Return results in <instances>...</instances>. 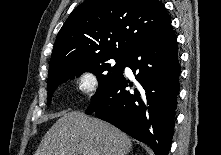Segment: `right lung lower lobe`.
Returning <instances> with one entry per match:
<instances>
[{
    "label": "right lung lower lobe",
    "mask_w": 221,
    "mask_h": 155,
    "mask_svg": "<svg viewBox=\"0 0 221 155\" xmlns=\"http://www.w3.org/2000/svg\"><path fill=\"white\" fill-rule=\"evenodd\" d=\"M131 68L137 81L124 75ZM123 71L111 86L92 100L86 114L95 113L131 137L149 145L155 155H168L174 131L180 64L171 24L142 38L129 52Z\"/></svg>",
    "instance_id": "1"
}]
</instances>
